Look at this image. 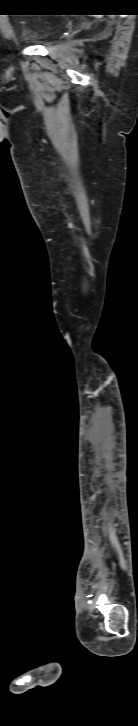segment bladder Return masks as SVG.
Here are the masks:
<instances>
[{
    "label": "bladder",
    "instance_id": "obj_1",
    "mask_svg": "<svg viewBox=\"0 0 138 726\" xmlns=\"http://www.w3.org/2000/svg\"><path fill=\"white\" fill-rule=\"evenodd\" d=\"M43 34V31L33 28L31 30V38L38 39Z\"/></svg>",
    "mask_w": 138,
    "mask_h": 726
}]
</instances>
